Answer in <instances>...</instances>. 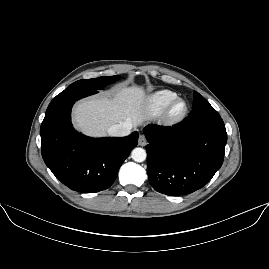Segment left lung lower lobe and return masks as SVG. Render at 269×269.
I'll return each instance as SVG.
<instances>
[{"label": "left lung lower lobe", "instance_id": "1", "mask_svg": "<svg viewBox=\"0 0 269 269\" xmlns=\"http://www.w3.org/2000/svg\"><path fill=\"white\" fill-rule=\"evenodd\" d=\"M147 173L153 188L169 196L205 186L223 163L227 133L221 117L172 126L148 125Z\"/></svg>", "mask_w": 269, "mask_h": 269}]
</instances>
